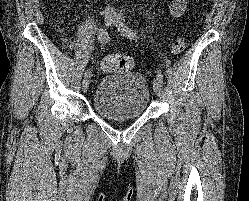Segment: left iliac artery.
I'll return each mask as SVG.
<instances>
[{"label":"left iliac artery","mask_w":249,"mask_h":201,"mask_svg":"<svg viewBox=\"0 0 249 201\" xmlns=\"http://www.w3.org/2000/svg\"><path fill=\"white\" fill-rule=\"evenodd\" d=\"M122 32L124 33L125 36L127 37H130V38H138L136 32H134L132 29H130L129 27L125 26L123 29H122ZM157 78L159 80H163V74L161 73V71H158L157 72Z\"/></svg>","instance_id":"44dca946"}]
</instances>
